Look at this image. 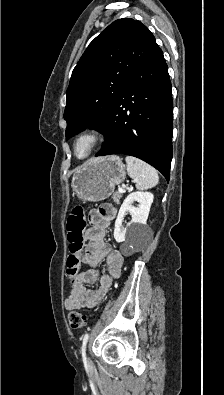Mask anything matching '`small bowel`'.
<instances>
[{
	"label": "small bowel",
	"instance_id": "obj_1",
	"mask_svg": "<svg viewBox=\"0 0 224 395\" xmlns=\"http://www.w3.org/2000/svg\"><path fill=\"white\" fill-rule=\"evenodd\" d=\"M116 214L117 209L111 205L90 211V227L85 234L88 243L84 258L88 268L81 271L73 281L69 296L65 299V308L68 311L83 307H96L107 295L113 279L121 274L124 257L119 250L105 240L106 231ZM102 260H105L107 273L100 275L97 266ZM98 279L97 289L87 288Z\"/></svg>",
	"mask_w": 224,
	"mask_h": 395
}]
</instances>
